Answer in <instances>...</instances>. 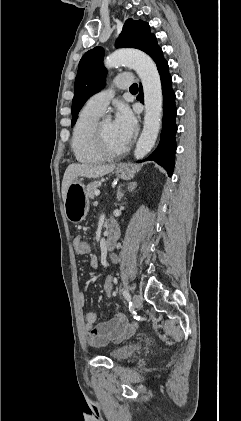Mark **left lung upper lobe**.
<instances>
[{
    "label": "left lung upper lobe",
    "instance_id": "obj_1",
    "mask_svg": "<svg viewBox=\"0 0 241 421\" xmlns=\"http://www.w3.org/2000/svg\"><path fill=\"white\" fill-rule=\"evenodd\" d=\"M153 37L148 23L130 18L126 20L115 47L144 51ZM103 57V48L95 47L86 52L80 60L72 101L71 126L75 124L78 113L87 99L104 87L107 72L103 66Z\"/></svg>",
    "mask_w": 241,
    "mask_h": 421
}]
</instances>
